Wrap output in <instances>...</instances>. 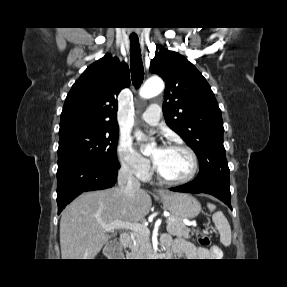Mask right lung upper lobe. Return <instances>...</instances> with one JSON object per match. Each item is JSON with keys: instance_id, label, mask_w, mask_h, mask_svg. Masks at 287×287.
Segmentation results:
<instances>
[{"instance_id": "right-lung-upper-lobe-1", "label": "right lung upper lobe", "mask_w": 287, "mask_h": 287, "mask_svg": "<svg viewBox=\"0 0 287 287\" xmlns=\"http://www.w3.org/2000/svg\"><path fill=\"white\" fill-rule=\"evenodd\" d=\"M129 84L127 64L106 54L73 84L63 106L60 129L79 123L118 128L116 97Z\"/></svg>"}]
</instances>
